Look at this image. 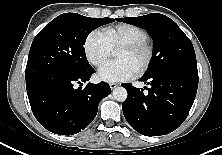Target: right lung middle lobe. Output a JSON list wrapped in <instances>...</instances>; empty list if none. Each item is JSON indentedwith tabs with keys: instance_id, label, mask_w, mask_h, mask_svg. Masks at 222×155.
<instances>
[{
	"instance_id": "dd1d6c3e",
	"label": "right lung middle lobe",
	"mask_w": 222,
	"mask_h": 155,
	"mask_svg": "<svg viewBox=\"0 0 222 155\" xmlns=\"http://www.w3.org/2000/svg\"><path fill=\"white\" fill-rule=\"evenodd\" d=\"M114 22L110 18H89L64 13L53 19L34 38L25 70L26 88L52 76H72L91 67L84 44L99 26Z\"/></svg>"
}]
</instances>
